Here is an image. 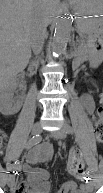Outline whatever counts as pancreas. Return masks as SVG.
Wrapping results in <instances>:
<instances>
[{
	"instance_id": "1",
	"label": "pancreas",
	"mask_w": 103,
	"mask_h": 193,
	"mask_svg": "<svg viewBox=\"0 0 103 193\" xmlns=\"http://www.w3.org/2000/svg\"><path fill=\"white\" fill-rule=\"evenodd\" d=\"M80 25H81V26H85V27H88V26H89V24H88L87 21H81V22H80ZM77 45H78V53H79V55L85 56L86 53H87V48H86V46H85V41H84V39L79 40V41L77 42Z\"/></svg>"
}]
</instances>
